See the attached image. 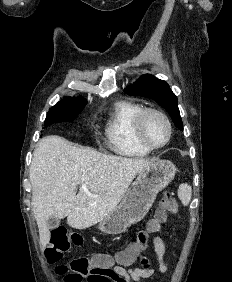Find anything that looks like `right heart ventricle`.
<instances>
[{
	"mask_svg": "<svg viewBox=\"0 0 232 282\" xmlns=\"http://www.w3.org/2000/svg\"><path fill=\"white\" fill-rule=\"evenodd\" d=\"M143 107L128 100L116 101L110 111L105 135L109 149L124 157H144L151 151L134 134V120Z\"/></svg>",
	"mask_w": 232,
	"mask_h": 282,
	"instance_id": "obj_1",
	"label": "right heart ventricle"
}]
</instances>
